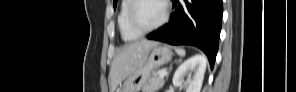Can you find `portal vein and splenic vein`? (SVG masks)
I'll return each instance as SVG.
<instances>
[{"mask_svg": "<svg viewBox=\"0 0 296 92\" xmlns=\"http://www.w3.org/2000/svg\"><path fill=\"white\" fill-rule=\"evenodd\" d=\"M166 74H167L166 72L161 73V74L159 75V78H160V79H163V78L165 77Z\"/></svg>", "mask_w": 296, "mask_h": 92, "instance_id": "18ae733b", "label": "portal vein and splenic vein"}]
</instances>
